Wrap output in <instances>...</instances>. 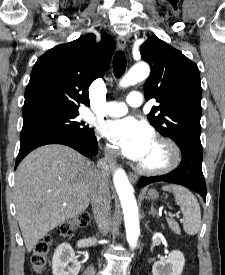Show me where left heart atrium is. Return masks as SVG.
<instances>
[{
    "mask_svg": "<svg viewBox=\"0 0 225 275\" xmlns=\"http://www.w3.org/2000/svg\"><path fill=\"white\" fill-rule=\"evenodd\" d=\"M102 132L118 150L131 160L140 162L154 141L152 129L134 117L108 121Z\"/></svg>",
    "mask_w": 225,
    "mask_h": 275,
    "instance_id": "1",
    "label": "left heart atrium"
}]
</instances>
